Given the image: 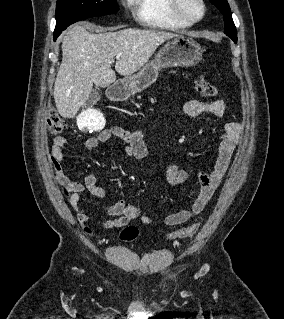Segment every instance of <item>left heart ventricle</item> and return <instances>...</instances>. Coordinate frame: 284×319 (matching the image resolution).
I'll use <instances>...</instances> for the list:
<instances>
[{"mask_svg":"<svg viewBox=\"0 0 284 319\" xmlns=\"http://www.w3.org/2000/svg\"><path fill=\"white\" fill-rule=\"evenodd\" d=\"M183 9L191 18H198L202 13V7L198 0H183Z\"/></svg>","mask_w":284,"mask_h":319,"instance_id":"1","label":"left heart ventricle"}]
</instances>
